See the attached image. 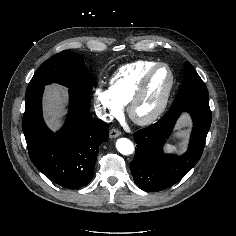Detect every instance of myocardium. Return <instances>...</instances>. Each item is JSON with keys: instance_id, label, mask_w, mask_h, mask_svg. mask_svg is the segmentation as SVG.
<instances>
[{"instance_id": "myocardium-1", "label": "myocardium", "mask_w": 236, "mask_h": 236, "mask_svg": "<svg viewBox=\"0 0 236 236\" xmlns=\"http://www.w3.org/2000/svg\"><path fill=\"white\" fill-rule=\"evenodd\" d=\"M160 68L167 69V71L169 73V83L166 88V91H165L160 103L158 104L156 109L151 114H149L148 116H145V117H138L135 114V109H136L138 103L143 98L152 76ZM174 84H175L174 72L170 68L169 65H167L165 63H157L153 67H151L145 73V75L141 79L138 87L136 88L135 92L133 93V95L131 96L130 100L127 103V113H128V116L130 117V119L140 126H147V125H150V124L154 123L155 121H157L160 118V116L163 114V112L165 111V109L168 105L169 99L171 97V94H172V91L174 88Z\"/></svg>"}]
</instances>
